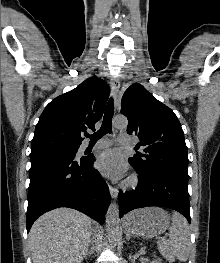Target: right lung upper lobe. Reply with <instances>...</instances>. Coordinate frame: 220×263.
Here are the masks:
<instances>
[{"instance_id":"obj_1","label":"right lung upper lobe","mask_w":220,"mask_h":263,"mask_svg":"<svg viewBox=\"0 0 220 263\" xmlns=\"http://www.w3.org/2000/svg\"><path fill=\"white\" fill-rule=\"evenodd\" d=\"M109 92L103 80L93 77L52 100L36 125L31 152L79 148L83 133L95 130L101 119Z\"/></svg>"}]
</instances>
